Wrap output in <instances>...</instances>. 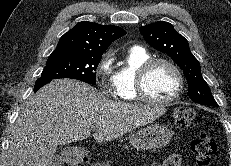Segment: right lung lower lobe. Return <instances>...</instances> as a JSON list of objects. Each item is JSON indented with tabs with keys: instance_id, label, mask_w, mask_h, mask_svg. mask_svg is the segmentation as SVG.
I'll return each instance as SVG.
<instances>
[{
	"instance_id": "obj_1",
	"label": "right lung lower lobe",
	"mask_w": 231,
	"mask_h": 166,
	"mask_svg": "<svg viewBox=\"0 0 231 166\" xmlns=\"http://www.w3.org/2000/svg\"><path fill=\"white\" fill-rule=\"evenodd\" d=\"M51 80H53V79L42 78V77L38 78L36 83H35V86H34V92L38 91L42 86L49 83Z\"/></svg>"
}]
</instances>
